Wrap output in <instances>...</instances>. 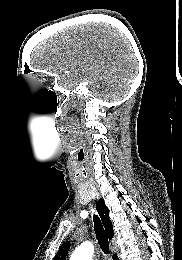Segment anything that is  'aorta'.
<instances>
[{
	"label": "aorta",
	"instance_id": "obj_1",
	"mask_svg": "<svg viewBox=\"0 0 182 260\" xmlns=\"http://www.w3.org/2000/svg\"><path fill=\"white\" fill-rule=\"evenodd\" d=\"M94 246L91 242H84L75 249L70 260H92Z\"/></svg>",
	"mask_w": 182,
	"mask_h": 260
}]
</instances>
